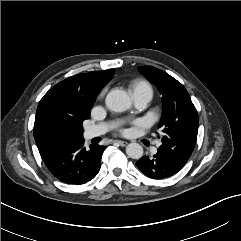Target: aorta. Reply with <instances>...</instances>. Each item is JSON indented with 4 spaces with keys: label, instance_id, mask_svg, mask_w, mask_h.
<instances>
[{
    "label": "aorta",
    "instance_id": "1",
    "mask_svg": "<svg viewBox=\"0 0 241 241\" xmlns=\"http://www.w3.org/2000/svg\"><path fill=\"white\" fill-rule=\"evenodd\" d=\"M105 103L109 110L115 112L126 111L132 105L129 95L120 89L111 90L106 96ZM126 154L132 159H139L143 156V148L138 143H130L126 147Z\"/></svg>",
    "mask_w": 241,
    "mask_h": 241
}]
</instances>
